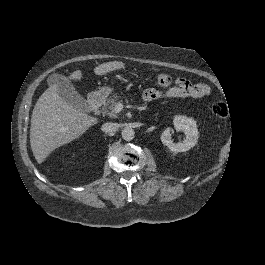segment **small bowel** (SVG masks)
<instances>
[{"mask_svg": "<svg viewBox=\"0 0 265 265\" xmlns=\"http://www.w3.org/2000/svg\"><path fill=\"white\" fill-rule=\"evenodd\" d=\"M211 92L207 84H192L185 78H178L175 86L167 89L165 92L149 88L143 93V99L146 102L156 101L163 98H202Z\"/></svg>", "mask_w": 265, "mask_h": 265, "instance_id": "small-bowel-1", "label": "small bowel"}]
</instances>
